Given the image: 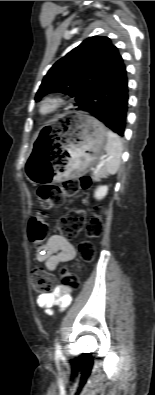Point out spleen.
<instances>
[{
    "label": "spleen",
    "instance_id": "3e777b00",
    "mask_svg": "<svg viewBox=\"0 0 155 395\" xmlns=\"http://www.w3.org/2000/svg\"><path fill=\"white\" fill-rule=\"evenodd\" d=\"M105 151L108 156V160L105 164V172L109 174H116L120 167L121 156H122V141L117 134L112 131H107V142Z\"/></svg>",
    "mask_w": 155,
    "mask_h": 395
}]
</instances>
